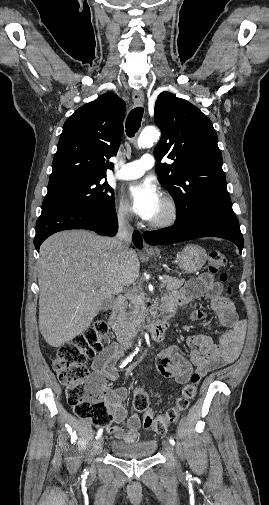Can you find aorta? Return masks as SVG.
<instances>
[{"label":"aorta","mask_w":269,"mask_h":505,"mask_svg":"<svg viewBox=\"0 0 269 505\" xmlns=\"http://www.w3.org/2000/svg\"><path fill=\"white\" fill-rule=\"evenodd\" d=\"M159 136L160 132L155 127H146L140 133L137 139V145L139 148L151 146L159 139Z\"/></svg>","instance_id":"aorta-1"}]
</instances>
